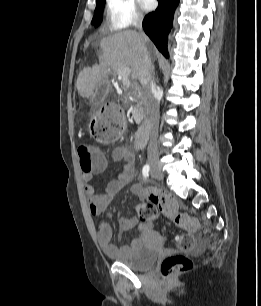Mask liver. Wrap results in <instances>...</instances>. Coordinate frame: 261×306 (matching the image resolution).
Segmentation results:
<instances>
[{"mask_svg": "<svg viewBox=\"0 0 261 306\" xmlns=\"http://www.w3.org/2000/svg\"><path fill=\"white\" fill-rule=\"evenodd\" d=\"M149 41L146 35L135 30H126L103 38L100 41L102 58L100 63L84 68L77 78L78 93L84 98H93L94 91L104 77L110 73H118L123 68H130L131 79L140 75V48Z\"/></svg>", "mask_w": 261, "mask_h": 306, "instance_id": "obj_1", "label": "liver"}]
</instances>
